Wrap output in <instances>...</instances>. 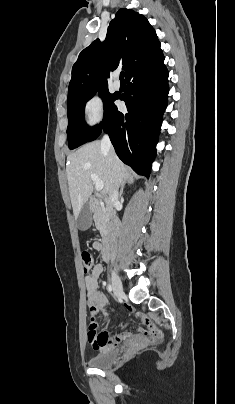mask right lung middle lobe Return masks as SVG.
<instances>
[{
	"instance_id": "1",
	"label": "right lung middle lobe",
	"mask_w": 235,
	"mask_h": 404,
	"mask_svg": "<svg viewBox=\"0 0 235 404\" xmlns=\"http://www.w3.org/2000/svg\"><path fill=\"white\" fill-rule=\"evenodd\" d=\"M95 94L96 92L81 97L79 99L69 101L67 103V110H68L67 136L70 149L77 148L80 145L88 142V140L91 138V136L97 129V126H95V128L88 127V125L84 121L85 104ZM99 96L103 99L104 102V117H105L108 110L114 105V101L117 99V96L115 94H110L108 92V89L99 91Z\"/></svg>"
}]
</instances>
